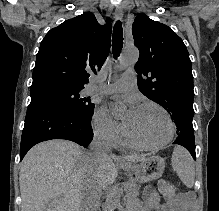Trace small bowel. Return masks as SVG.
Masks as SVG:
<instances>
[{
    "label": "small bowel",
    "instance_id": "small-bowel-1",
    "mask_svg": "<svg viewBox=\"0 0 219 211\" xmlns=\"http://www.w3.org/2000/svg\"><path fill=\"white\" fill-rule=\"evenodd\" d=\"M194 206L195 197L190 193L183 194L179 200L173 203L160 205L157 192L153 189H149L146 192V207L143 211H193Z\"/></svg>",
    "mask_w": 219,
    "mask_h": 211
}]
</instances>
